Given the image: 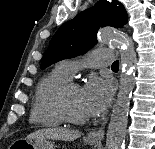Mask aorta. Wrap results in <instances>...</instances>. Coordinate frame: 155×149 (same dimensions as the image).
I'll list each match as a JSON object with an SVG mask.
<instances>
[{"label": "aorta", "instance_id": "762f6f07", "mask_svg": "<svg viewBox=\"0 0 155 149\" xmlns=\"http://www.w3.org/2000/svg\"><path fill=\"white\" fill-rule=\"evenodd\" d=\"M101 43L116 44L121 47L122 73L107 130L106 149H123L127 131L130 98L135 85L136 53L129 38L113 29L99 32Z\"/></svg>", "mask_w": 155, "mask_h": 149}]
</instances>
